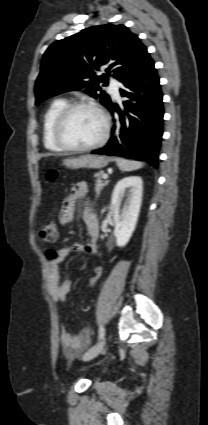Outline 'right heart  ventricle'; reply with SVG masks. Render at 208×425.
I'll use <instances>...</instances> for the list:
<instances>
[{
    "instance_id": "1",
    "label": "right heart ventricle",
    "mask_w": 208,
    "mask_h": 425,
    "mask_svg": "<svg viewBox=\"0 0 208 425\" xmlns=\"http://www.w3.org/2000/svg\"><path fill=\"white\" fill-rule=\"evenodd\" d=\"M67 105V101L64 98H57L51 102L43 116L42 124V137L43 143L46 149L55 152L63 151L53 139V128L55 120L61 110Z\"/></svg>"
}]
</instances>
